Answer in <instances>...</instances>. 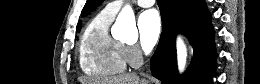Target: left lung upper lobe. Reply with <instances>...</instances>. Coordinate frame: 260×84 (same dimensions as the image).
<instances>
[{"label": "left lung upper lobe", "mask_w": 260, "mask_h": 84, "mask_svg": "<svg viewBox=\"0 0 260 84\" xmlns=\"http://www.w3.org/2000/svg\"><path fill=\"white\" fill-rule=\"evenodd\" d=\"M104 0H87L82 14L85 15L87 12L94 10L97 6H99Z\"/></svg>", "instance_id": "5c2ea615"}]
</instances>
